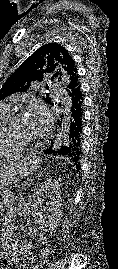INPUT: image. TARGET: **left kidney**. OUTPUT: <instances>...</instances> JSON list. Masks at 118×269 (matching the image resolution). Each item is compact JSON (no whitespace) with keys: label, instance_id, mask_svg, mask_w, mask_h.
<instances>
[{"label":"left kidney","instance_id":"1","mask_svg":"<svg viewBox=\"0 0 118 269\" xmlns=\"http://www.w3.org/2000/svg\"><path fill=\"white\" fill-rule=\"evenodd\" d=\"M50 194V208L47 214H44L46 208L42 206L44 203V194ZM61 190L58 181L47 179L44 182L38 183L32 194L31 214L39 225L40 229L45 232H53L61 217Z\"/></svg>","mask_w":118,"mask_h":269}]
</instances>
